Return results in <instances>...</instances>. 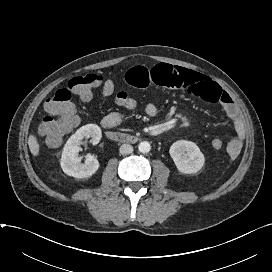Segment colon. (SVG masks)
<instances>
[{
  "label": "colon",
  "mask_w": 272,
  "mask_h": 272,
  "mask_svg": "<svg viewBox=\"0 0 272 272\" xmlns=\"http://www.w3.org/2000/svg\"><path fill=\"white\" fill-rule=\"evenodd\" d=\"M101 85L105 95L115 93V85L112 81H104L102 76L93 73L72 78L66 87L56 90L53 96L46 101L44 105L46 116L39 125V133L49 146L59 145L64 136L78 122V115L72 102L73 93L84 100H89L94 90ZM115 103L125 110H134L139 104L135 97L125 91L115 94ZM211 147L220 150L224 147V142L219 138H214L211 141Z\"/></svg>",
  "instance_id": "5ec220e1"
}]
</instances>
